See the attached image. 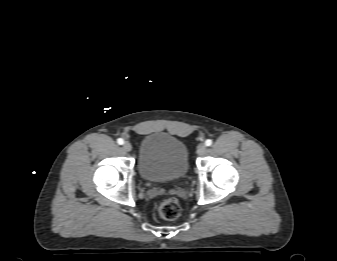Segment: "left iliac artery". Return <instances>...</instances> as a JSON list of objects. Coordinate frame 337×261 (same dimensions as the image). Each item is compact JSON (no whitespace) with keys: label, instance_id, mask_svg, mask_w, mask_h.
Returning a JSON list of instances; mask_svg holds the SVG:
<instances>
[{"label":"left iliac artery","instance_id":"1","mask_svg":"<svg viewBox=\"0 0 337 261\" xmlns=\"http://www.w3.org/2000/svg\"><path fill=\"white\" fill-rule=\"evenodd\" d=\"M205 145H206V146H211V145H212V140H211V139H207V140L205 141Z\"/></svg>","mask_w":337,"mask_h":261}]
</instances>
